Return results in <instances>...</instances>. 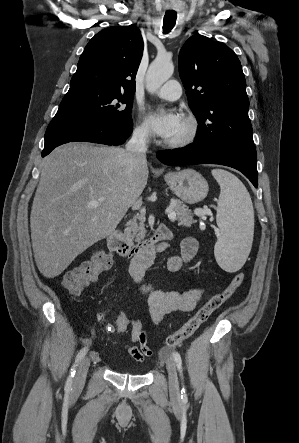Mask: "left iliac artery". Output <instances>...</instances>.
I'll list each match as a JSON object with an SVG mask.
<instances>
[{
  "label": "left iliac artery",
  "instance_id": "1",
  "mask_svg": "<svg viewBox=\"0 0 299 443\" xmlns=\"http://www.w3.org/2000/svg\"><path fill=\"white\" fill-rule=\"evenodd\" d=\"M173 358H174V361H175V363L177 365V368H178V370H179V372L181 374V378L183 379V372H182L183 369H182V359H181V356H180V354L178 352H174L173 353ZM181 392H182V395H181L182 400L186 401L187 400V394H186V390H185L184 387L182 388Z\"/></svg>",
  "mask_w": 299,
  "mask_h": 443
}]
</instances>
